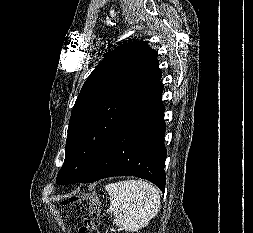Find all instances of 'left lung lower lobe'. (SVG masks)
<instances>
[{"mask_svg": "<svg viewBox=\"0 0 253 233\" xmlns=\"http://www.w3.org/2000/svg\"><path fill=\"white\" fill-rule=\"evenodd\" d=\"M160 79L117 124L91 169L79 183L133 175L153 182L164 192L166 149Z\"/></svg>", "mask_w": 253, "mask_h": 233, "instance_id": "obj_1", "label": "left lung lower lobe"}]
</instances>
